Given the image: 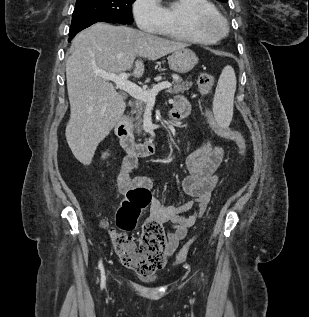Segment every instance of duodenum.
Listing matches in <instances>:
<instances>
[{
  "instance_id": "1",
  "label": "duodenum",
  "mask_w": 309,
  "mask_h": 317,
  "mask_svg": "<svg viewBox=\"0 0 309 317\" xmlns=\"http://www.w3.org/2000/svg\"><path fill=\"white\" fill-rule=\"evenodd\" d=\"M115 134L119 138L121 147L128 156L136 158L147 157L155 152V140L150 137L143 142H136L127 115H123L115 125Z\"/></svg>"
}]
</instances>
